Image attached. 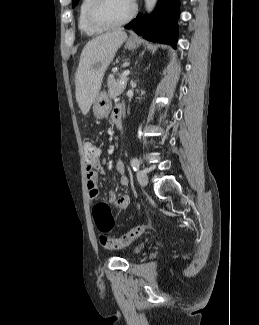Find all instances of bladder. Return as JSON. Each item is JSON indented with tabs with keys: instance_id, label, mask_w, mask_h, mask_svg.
I'll return each instance as SVG.
<instances>
[{
	"instance_id": "obj_1",
	"label": "bladder",
	"mask_w": 259,
	"mask_h": 325,
	"mask_svg": "<svg viewBox=\"0 0 259 325\" xmlns=\"http://www.w3.org/2000/svg\"><path fill=\"white\" fill-rule=\"evenodd\" d=\"M141 249H142V245H137L132 249L131 253L136 254V253L140 252Z\"/></svg>"
}]
</instances>
